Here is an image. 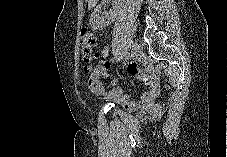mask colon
<instances>
[{
  "mask_svg": "<svg viewBox=\"0 0 227 157\" xmlns=\"http://www.w3.org/2000/svg\"><path fill=\"white\" fill-rule=\"evenodd\" d=\"M97 43V36L92 30L87 28H83L81 30V46L85 72L91 71L94 61L97 58V55L94 53V49L97 46Z\"/></svg>",
  "mask_w": 227,
  "mask_h": 157,
  "instance_id": "5ec220e1",
  "label": "colon"
}]
</instances>
